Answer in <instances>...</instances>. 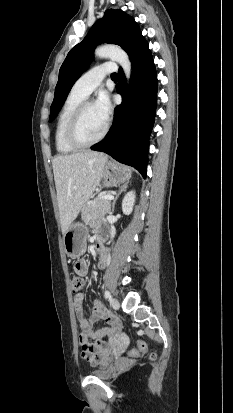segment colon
I'll return each instance as SVG.
<instances>
[{
	"mask_svg": "<svg viewBox=\"0 0 233 413\" xmlns=\"http://www.w3.org/2000/svg\"><path fill=\"white\" fill-rule=\"evenodd\" d=\"M71 287L74 292L80 291L84 287V280L79 275L71 277ZM146 351V344L143 341L137 343L136 349L132 350V354L144 353Z\"/></svg>",
	"mask_w": 233,
	"mask_h": 413,
	"instance_id": "colon-1",
	"label": "colon"
}]
</instances>
